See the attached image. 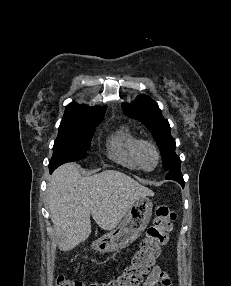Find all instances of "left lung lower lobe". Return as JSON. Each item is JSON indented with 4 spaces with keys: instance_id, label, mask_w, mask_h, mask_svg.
Segmentation results:
<instances>
[{
    "instance_id": "1",
    "label": "left lung lower lobe",
    "mask_w": 231,
    "mask_h": 286,
    "mask_svg": "<svg viewBox=\"0 0 231 286\" xmlns=\"http://www.w3.org/2000/svg\"><path fill=\"white\" fill-rule=\"evenodd\" d=\"M166 178L175 180L178 183H180L182 187H184V180H183V176L180 171V166L175 167L171 169L170 171H168Z\"/></svg>"
}]
</instances>
